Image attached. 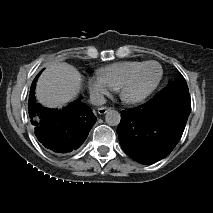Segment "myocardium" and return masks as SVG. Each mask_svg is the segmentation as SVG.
I'll use <instances>...</instances> for the list:
<instances>
[{
    "label": "myocardium",
    "instance_id": "1",
    "mask_svg": "<svg viewBox=\"0 0 213 213\" xmlns=\"http://www.w3.org/2000/svg\"><path fill=\"white\" fill-rule=\"evenodd\" d=\"M150 64L157 66V68L159 70V74H158V77H157L155 83L152 85V87L150 89H148L142 95L137 96V97H128L125 93L126 88L132 83V81L135 79L138 72L143 67L150 65ZM162 76H163V70H162L161 65L158 62H156V61H144V62H142L121 82V84L118 88V94H119L120 99L124 103H127V104H137V103L142 102L147 97H149L154 92V90L158 87V85L161 82Z\"/></svg>",
    "mask_w": 213,
    "mask_h": 213
}]
</instances>
